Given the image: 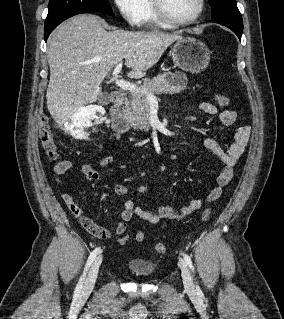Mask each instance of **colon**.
I'll return each instance as SVG.
<instances>
[{"instance_id": "obj_1", "label": "colon", "mask_w": 284, "mask_h": 319, "mask_svg": "<svg viewBox=\"0 0 284 319\" xmlns=\"http://www.w3.org/2000/svg\"><path fill=\"white\" fill-rule=\"evenodd\" d=\"M215 101L221 107H227L230 103L229 99L222 94H216ZM39 135L41 144L45 149L47 155L52 161H55L58 155L56 150L55 138L50 129L49 121L47 119H43V121L41 122ZM210 215L211 210L207 208L203 211L201 218L203 221H207L210 218ZM144 237L145 236L143 232H137L135 235V240L138 242H142L144 240ZM128 239V236L122 237L118 240V243L120 245H125L128 242ZM155 249L158 253H164L166 251V246L163 243H158Z\"/></svg>"}]
</instances>
